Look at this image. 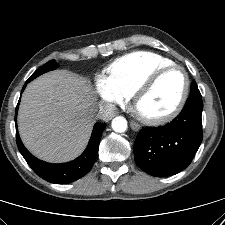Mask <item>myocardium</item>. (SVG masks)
Returning <instances> with one entry per match:
<instances>
[{"mask_svg":"<svg viewBox=\"0 0 225 225\" xmlns=\"http://www.w3.org/2000/svg\"><path fill=\"white\" fill-rule=\"evenodd\" d=\"M173 70L181 71L184 76L182 92L175 106L170 111L159 116H146L140 113V111L138 110V105L141 99L154 87V85L163 75ZM189 90H190V79L184 67L174 63L162 67L151 73L132 94L134 112L136 113L139 120L144 124L152 126L165 124L174 119L182 111L188 99Z\"/></svg>","mask_w":225,"mask_h":225,"instance_id":"f54148a6","label":"myocardium"}]
</instances>
